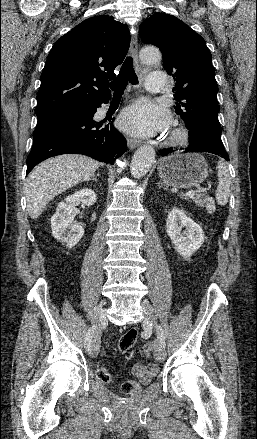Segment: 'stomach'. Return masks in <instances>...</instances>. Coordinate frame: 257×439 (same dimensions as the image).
<instances>
[{
	"label": "stomach",
	"instance_id": "stomach-1",
	"mask_svg": "<svg viewBox=\"0 0 257 439\" xmlns=\"http://www.w3.org/2000/svg\"><path fill=\"white\" fill-rule=\"evenodd\" d=\"M158 171L169 186L189 188L202 183L208 176V166L199 153H176L160 160Z\"/></svg>",
	"mask_w": 257,
	"mask_h": 439
}]
</instances>
